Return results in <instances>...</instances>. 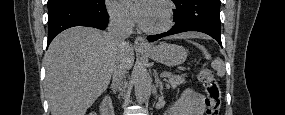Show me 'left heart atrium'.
I'll list each match as a JSON object with an SVG mask.
<instances>
[{
  "instance_id": "39dd6f15",
  "label": "left heart atrium",
  "mask_w": 285,
  "mask_h": 115,
  "mask_svg": "<svg viewBox=\"0 0 285 115\" xmlns=\"http://www.w3.org/2000/svg\"><path fill=\"white\" fill-rule=\"evenodd\" d=\"M126 7L132 12L134 19L143 26H148L153 5L148 0H126Z\"/></svg>"
}]
</instances>
